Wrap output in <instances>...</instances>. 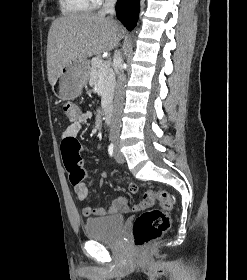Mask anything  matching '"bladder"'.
Masks as SVG:
<instances>
[{
    "instance_id": "31cf9c89",
    "label": "bladder",
    "mask_w": 247,
    "mask_h": 280,
    "mask_svg": "<svg viewBox=\"0 0 247 280\" xmlns=\"http://www.w3.org/2000/svg\"><path fill=\"white\" fill-rule=\"evenodd\" d=\"M124 222L121 215L89 218L84 223V233L91 240L112 242L120 236Z\"/></svg>"
}]
</instances>
